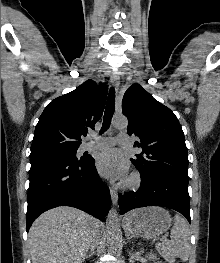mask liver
Instances as JSON below:
<instances>
[{
  "label": "liver",
  "instance_id": "liver-1",
  "mask_svg": "<svg viewBox=\"0 0 220 263\" xmlns=\"http://www.w3.org/2000/svg\"><path fill=\"white\" fill-rule=\"evenodd\" d=\"M100 221L72 207H57L41 214L29 230L32 263H82L91 232Z\"/></svg>",
  "mask_w": 220,
  "mask_h": 263
}]
</instances>
